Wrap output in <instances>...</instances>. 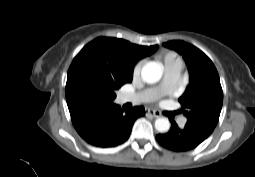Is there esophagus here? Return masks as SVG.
<instances>
[{"label": "esophagus", "instance_id": "34e87169", "mask_svg": "<svg viewBox=\"0 0 255 177\" xmlns=\"http://www.w3.org/2000/svg\"><path fill=\"white\" fill-rule=\"evenodd\" d=\"M145 114H146V115H150V116H152V117H154V118H159V117H161L160 112H158V111H156V110H154V109H147V110L145 111Z\"/></svg>", "mask_w": 255, "mask_h": 177}]
</instances>
